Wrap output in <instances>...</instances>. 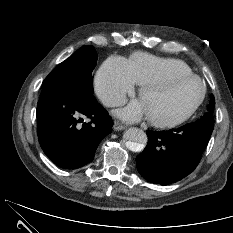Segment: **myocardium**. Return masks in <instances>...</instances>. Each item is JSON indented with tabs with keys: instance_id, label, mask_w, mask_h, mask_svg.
Listing matches in <instances>:
<instances>
[{
	"instance_id": "obj_1",
	"label": "myocardium",
	"mask_w": 233,
	"mask_h": 233,
	"mask_svg": "<svg viewBox=\"0 0 233 233\" xmlns=\"http://www.w3.org/2000/svg\"><path fill=\"white\" fill-rule=\"evenodd\" d=\"M189 79L197 81L201 89L199 98L194 103V105L184 115L180 116L179 118L173 119V120H157V119L147 116V119L152 125L158 128L168 129V128H174V127L180 126L184 124L185 122H187L190 118H192V116L198 111V109L203 104L205 97H206V87L202 79L198 75L193 74V73L173 75V76H162V77L147 81L140 86L139 92H138L139 98H141L143 93L149 89H157V88H161L163 86H166V85H169L175 82L189 80Z\"/></svg>"
}]
</instances>
